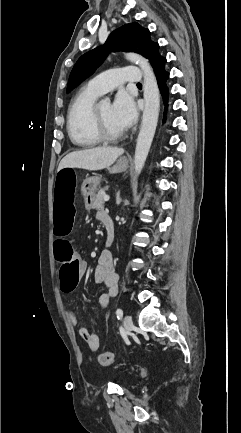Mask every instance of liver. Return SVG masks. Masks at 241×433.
<instances>
[{
	"label": "liver",
	"mask_w": 241,
	"mask_h": 433,
	"mask_svg": "<svg viewBox=\"0 0 241 433\" xmlns=\"http://www.w3.org/2000/svg\"><path fill=\"white\" fill-rule=\"evenodd\" d=\"M124 153L122 148L97 147L67 154L59 163L58 170L64 167L90 171L102 170L112 165Z\"/></svg>",
	"instance_id": "6515ba94"
}]
</instances>
